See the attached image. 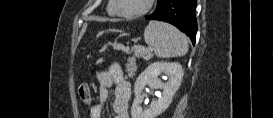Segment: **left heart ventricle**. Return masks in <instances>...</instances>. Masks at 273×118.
<instances>
[{"label":"left heart ventricle","mask_w":273,"mask_h":118,"mask_svg":"<svg viewBox=\"0 0 273 118\" xmlns=\"http://www.w3.org/2000/svg\"><path fill=\"white\" fill-rule=\"evenodd\" d=\"M147 3V0H119V9L126 13L141 11Z\"/></svg>","instance_id":"1"}]
</instances>
